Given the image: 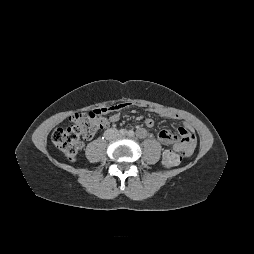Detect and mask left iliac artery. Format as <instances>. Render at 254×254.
I'll list each match as a JSON object with an SVG mask.
<instances>
[{
    "label": "left iliac artery",
    "mask_w": 254,
    "mask_h": 254,
    "mask_svg": "<svg viewBox=\"0 0 254 254\" xmlns=\"http://www.w3.org/2000/svg\"><path fill=\"white\" fill-rule=\"evenodd\" d=\"M127 134H128V136H130V137H133V136L135 135L134 131H132V130L128 131Z\"/></svg>",
    "instance_id": "obj_1"
}]
</instances>
